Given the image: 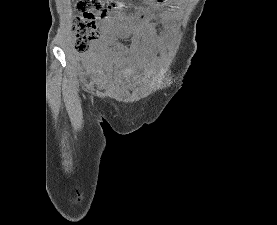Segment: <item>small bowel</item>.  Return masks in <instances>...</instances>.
I'll list each match as a JSON object with an SVG mask.
<instances>
[{
	"label": "small bowel",
	"mask_w": 277,
	"mask_h": 225,
	"mask_svg": "<svg viewBox=\"0 0 277 225\" xmlns=\"http://www.w3.org/2000/svg\"><path fill=\"white\" fill-rule=\"evenodd\" d=\"M166 2L164 0L157 5L163 8L158 12L144 10L137 20L127 18L120 8L100 18L101 42L98 50L81 58L86 75L95 84H107L118 68L130 73L131 67L164 49L178 17V6ZM159 25L163 27L161 31ZM120 35H130L132 45L127 47L119 43L116 38Z\"/></svg>",
	"instance_id": "c3829d8e"
}]
</instances>
